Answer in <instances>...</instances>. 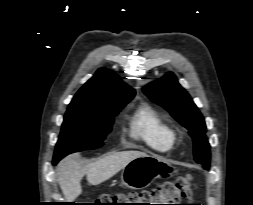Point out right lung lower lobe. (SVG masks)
<instances>
[{
  "mask_svg": "<svg viewBox=\"0 0 253 205\" xmlns=\"http://www.w3.org/2000/svg\"><path fill=\"white\" fill-rule=\"evenodd\" d=\"M57 162H55L54 160H53V164H56Z\"/></svg>",
  "mask_w": 253,
  "mask_h": 205,
  "instance_id": "98d812e1",
  "label": "right lung lower lobe"
}]
</instances>
